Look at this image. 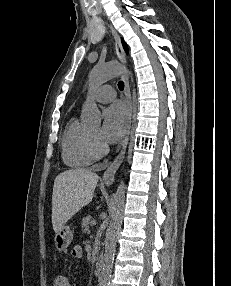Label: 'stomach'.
Returning <instances> with one entry per match:
<instances>
[{"label": "stomach", "instance_id": "0dacf381", "mask_svg": "<svg viewBox=\"0 0 231 286\" xmlns=\"http://www.w3.org/2000/svg\"><path fill=\"white\" fill-rule=\"evenodd\" d=\"M73 240V233L69 226H63L59 231L55 232L54 243L58 251H64Z\"/></svg>", "mask_w": 231, "mask_h": 286}]
</instances>
